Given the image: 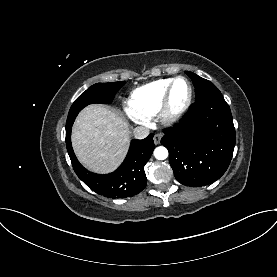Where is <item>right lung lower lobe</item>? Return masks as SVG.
<instances>
[{
	"label": "right lung lower lobe",
	"instance_id": "98d812e1",
	"mask_svg": "<svg viewBox=\"0 0 277 277\" xmlns=\"http://www.w3.org/2000/svg\"><path fill=\"white\" fill-rule=\"evenodd\" d=\"M71 129L66 128V147L77 176L97 194L110 198H124L139 194L147 184L144 166L155 148L153 134L143 140L131 141L128 154L121 166L106 175L94 174L77 160L71 146Z\"/></svg>",
	"mask_w": 277,
	"mask_h": 277
}]
</instances>
